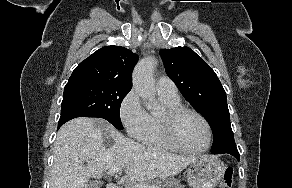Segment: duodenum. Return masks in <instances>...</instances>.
I'll list each match as a JSON object with an SVG mask.
<instances>
[{"label":"duodenum","mask_w":292,"mask_h":188,"mask_svg":"<svg viewBox=\"0 0 292 188\" xmlns=\"http://www.w3.org/2000/svg\"><path fill=\"white\" fill-rule=\"evenodd\" d=\"M107 188H120V187L117 185L111 184V185H108Z\"/></svg>","instance_id":"duodenum-1"}]
</instances>
